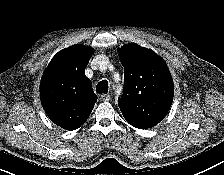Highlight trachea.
<instances>
[{
  "label": "trachea",
  "instance_id": "1",
  "mask_svg": "<svg viewBox=\"0 0 224 175\" xmlns=\"http://www.w3.org/2000/svg\"><path fill=\"white\" fill-rule=\"evenodd\" d=\"M108 91V82L107 80H102L98 83L96 87V92L99 94L106 93Z\"/></svg>",
  "mask_w": 224,
  "mask_h": 175
}]
</instances>
